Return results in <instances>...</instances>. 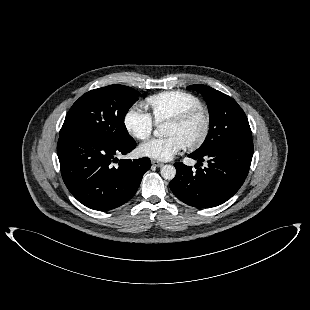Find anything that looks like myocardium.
Listing matches in <instances>:
<instances>
[{
	"label": "myocardium",
	"mask_w": 310,
	"mask_h": 310,
	"mask_svg": "<svg viewBox=\"0 0 310 310\" xmlns=\"http://www.w3.org/2000/svg\"><path fill=\"white\" fill-rule=\"evenodd\" d=\"M196 117H201L203 119V130L195 141L185 145L189 150L200 148L208 139L211 131V116L209 112L202 106L193 107L177 114L167 121V123L183 125Z\"/></svg>",
	"instance_id": "obj_1"
}]
</instances>
